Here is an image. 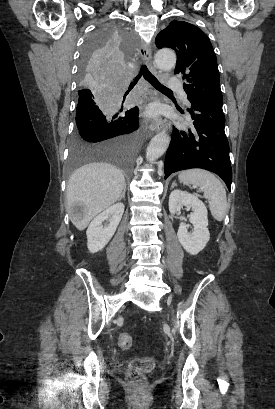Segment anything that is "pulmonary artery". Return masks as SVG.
Returning a JSON list of instances; mask_svg holds the SVG:
<instances>
[{
  "label": "pulmonary artery",
  "instance_id": "pulmonary-artery-1",
  "mask_svg": "<svg viewBox=\"0 0 275 409\" xmlns=\"http://www.w3.org/2000/svg\"><path fill=\"white\" fill-rule=\"evenodd\" d=\"M173 78H174V79H168V80H167V82H166L167 87H168V88H179V87H180V80H179L180 75H179L178 73H175V74L173 75ZM182 98H183L184 104H185L186 106H189L190 103H189V101H188V98H187V94H186V93H183Z\"/></svg>",
  "mask_w": 275,
  "mask_h": 409
}]
</instances>
